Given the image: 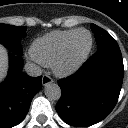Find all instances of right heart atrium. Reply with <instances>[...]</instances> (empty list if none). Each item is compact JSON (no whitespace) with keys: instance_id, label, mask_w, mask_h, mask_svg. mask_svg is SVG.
Returning a JSON list of instances; mask_svg holds the SVG:
<instances>
[{"instance_id":"right-heart-atrium-1","label":"right heart atrium","mask_w":128,"mask_h":128,"mask_svg":"<svg viewBox=\"0 0 128 128\" xmlns=\"http://www.w3.org/2000/svg\"><path fill=\"white\" fill-rule=\"evenodd\" d=\"M31 60L36 61L33 57H31Z\"/></svg>"}]
</instances>
